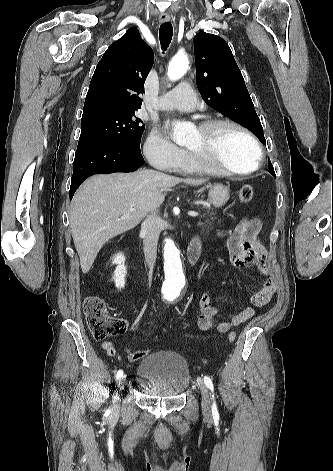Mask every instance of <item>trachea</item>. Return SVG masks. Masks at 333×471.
<instances>
[{"mask_svg": "<svg viewBox=\"0 0 333 471\" xmlns=\"http://www.w3.org/2000/svg\"><path fill=\"white\" fill-rule=\"evenodd\" d=\"M172 34H173V27L171 23L165 22L161 24L160 30H159V38H160L161 48L163 51H166V49L168 48L172 39Z\"/></svg>", "mask_w": 333, "mask_h": 471, "instance_id": "obj_1", "label": "trachea"}]
</instances>
